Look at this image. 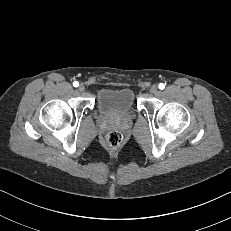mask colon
Returning <instances> with one entry per match:
<instances>
[{"mask_svg":"<svg viewBox=\"0 0 231 231\" xmlns=\"http://www.w3.org/2000/svg\"><path fill=\"white\" fill-rule=\"evenodd\" d=\"M123 136L119 131H110L106 136L107 145L111 148H117L121 145Z\"/></svg>","mask_w":231,"mask_h":231,"instance_id":"1","label":"colon"}]
</instances>
